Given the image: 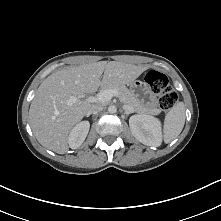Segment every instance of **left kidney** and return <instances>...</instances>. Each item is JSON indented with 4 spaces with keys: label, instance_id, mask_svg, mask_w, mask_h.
Returning a JSON list of instances; mask_svg holds the SVG:
<instances>
[{
    "label": "left kidney",
    "instance_id": "5707ae66",
    "mask_svg": "<svg viewBox=\"0 0 221 221\" xmlns=\"http://www.w3.org/2000/svg\"><path fill=\"white\" fill-rule=\"evenodd\" d=\"M129 126L133 136L142 144L152 147L161 145V123L157 118L146 114L133 115Z\"/></svg>",
    "mask_w": 221,
    "mask_h": 221
}]
</instances>
